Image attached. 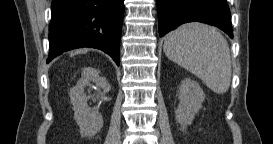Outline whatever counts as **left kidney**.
Returning a JSON list of instances; mask_svg holds the SVG:
<instances>
[{"mask_svg": "<svg viewBox=\"0 0 273 144\" xmlns=\"http://www.w3.org/2000/svg\"><path fill=\"white\" fill-rule=\"evenodd\" d=\"M205 93L200 85L190 79H184L179 87V105L175 111V118L186 129L195 117V114L202 108Z\"/></svg>", "mask_w": 273, "mask_h": 144, "instance_id": "obj_1", "label": "left kidney"}]
</instances>
